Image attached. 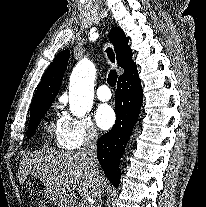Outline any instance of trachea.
I'll return each instance as SVG.
<instances>
[{"label": "trachea", "mask_w": 206, "mask_h": 207, "mask_svg": "<svg viewBox=\"0 0 206 207\" xmlns=\"http://www.w3.org/2000/svg\"><path fill=\"white\" fill-rule=\"evenodd\" d=\"M106 52L108 53V58L111 60V62H114L115 56L114 53L112 52V49H107ZM117 72L115 70H111L108 78H107V83L111 86L114 87L117 82Z\"/></svg>", "instance_id": "obj_1"}]
</instances>
